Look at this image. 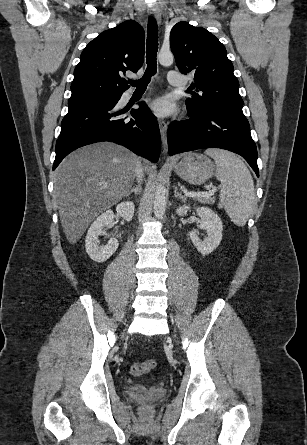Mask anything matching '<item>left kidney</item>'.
Wrapping results in <instances>:
<instances>
[{
	"instance_id": "1",
	"label": "left kidney",
	"mask_w": 307,
	"mask_h": 445,
	"mask_svg": "<svg viewBox=\"0 0 307 445\" xmlns=\"http://www.w3.org/2000/svg\"><path fill=\"white\" fill-rule=\"evenodd\" d=\"M189 208L190 206L184 204V206L176 208V212L183 216V214H187ZM196 212L201 218L199 229H204L207 233V237H205L204 241H201L198 237V231L195 229V231H191L190 239L194 247H196L199 253L205 257V255L213 253L222 241V220L219 218L218 214L213 212L208 206H198Z\"/></svg>"
}]
</instances>
